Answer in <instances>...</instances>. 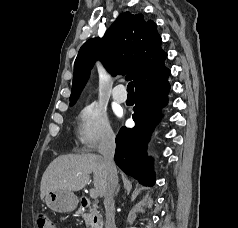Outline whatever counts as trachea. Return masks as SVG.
Wrapping results in <instances>:
<instances>
[{
    "label": "trachea",
    "mask_w": 238,
    "mask_h": 228,
    "mask_svg": "<svg viewBox=\"0 0 238 228\" xmlns=\"http://www.w3.org/2000/svg\"><path fill=\"white\" fill-rule=\"evenodd\" d=\"M128 95H134V85L133 82H129L127 85Z\"/></svg>",
    "instance_id": "obj_1"
}]
</instances>
